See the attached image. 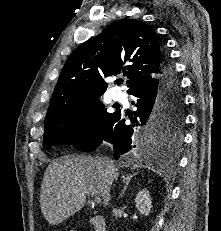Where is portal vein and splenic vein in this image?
I'll list each match as a JSON object with an SVG mask.
<instances>
[{"label": "portal vein and splenic vein", "mask_w": 221, "mask_h": 231, "mask_svg": "<svg viewBox=\"0 0 221 231\" xmlns=\"http://www.w3.org/2000/svg\"><path fill=\"white\" fill-rule=\"evenodd\" d=\"M91 197L93 198V195H91ZM94 202L98 203V204L101 203V198L99 196H95L94 197Z\"/></svg>", "instance_id": "obj_1"}]
</instances>
